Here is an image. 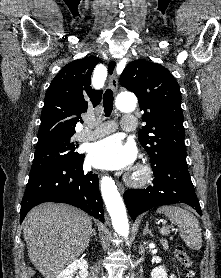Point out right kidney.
<instances>
[{
	"mask_svg": "<svg viewBox=\"0 0 221 278\" xmlns=\"http://www.w3.org/2000/svg\"><path fill=\"white\" fill-rule=\"evenodd\" d=\"M79 270L76 278H87L88 277V263L84 259H79L71 263L66 267L57 278H72L76 271Z\"/></svg>",
	"mask_w": 221,
	"mask_h": 278,
	"instance_id": "1",
	"label": "right kidney"
}]
</instances>
